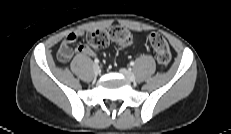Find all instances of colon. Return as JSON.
<instances>
[{
  "label": "colon",
  "mask_w": 231,
  "mask_h": 134,
  "mask_svg": "<svg viewBox=\"0 0 231 134\" xmlns=\"http://www.w3.org/2000/svg\"><path fill=\"white\" fill-rule=\"evenodd\" d=\"M88 44L95 48L108 45L110 41L124 48L131 44L132 35L128 29L123 26H112L108 30L97 29L87 33ZM149 41L154 51L158 63L166 67L171 61V52L166 39L159 33H151Z\"/></svg>",
  "instance_id": "colon-1"
}]
</instances>
